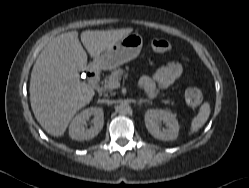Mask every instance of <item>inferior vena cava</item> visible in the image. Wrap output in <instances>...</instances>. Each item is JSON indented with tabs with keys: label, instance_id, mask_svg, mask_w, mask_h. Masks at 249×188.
I'll return each mask as SVG.
<instances>
[{
	"label": "inferior vena cava",
	"instance_id": "1",
	"mask_svg": "<svg viewBox=\"0 0 249 188\" xmlns=\"http://www.w3.org/2000/svg\"><path fill=\"white\" fill-rule=\"evenodd\" d=\"M102 102H103V103H106V104H108V105L113 104V101L108 100V99L102 100Z\"/></svg>",
	"mask_w": 249,
	"mask_h": 188
}]
</instances>
